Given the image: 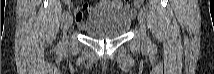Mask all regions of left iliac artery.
<instances>
[{
	"instance_id": "44dca946",
	"label": "left iliac artery",
	"mask_w": 214,
	"mask_h": 74,
	"mask_svg": "<svg viewBox=\"0 0 214 74\" xmlns=\"http://www.w3.org/2000/svg\"><path fill=\"white\" fill-rule=\"evenodd\" d=\"M140 13H143L144 16L146 15V9L143 7V8H140Z\"/></svg>"
}]
</instances>
